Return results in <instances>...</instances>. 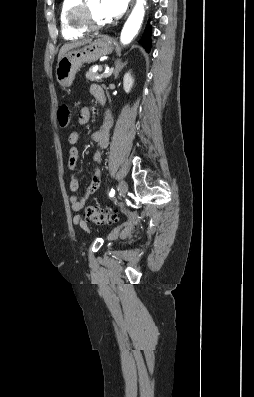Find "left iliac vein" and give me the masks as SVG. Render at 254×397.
<instances>
[{"instance_id":"left-iliac-vein-1","label":"left iliac vein","mask_w":254,"mask_h":397,"mask_svg":"<svg viewBox=\"0 0 254 397\" xmlns=\"http://www.w3.org/2000/svg\"><path fill=\"white\" fill-rule=\"evenodd\" d=\"M128 191V185L127 183L123 180L120 183V187H119V195L122 196L124 194H126Z\"/></svg>"}]
</instances>
